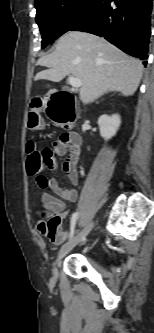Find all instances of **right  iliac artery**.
I'll list each match as a JSON object with an SVG mask.
<instances>
[{
	"label": "right iliac artery",
	"mask_w": 154,
	"mask_h": 333,
	"mask_svg": "<svg viewBox=\"0 0 154 333\" xmlns=\"http://www.w3.org/2000/svg\"><path fill=\"white\" fill-rule=\"evenodd\" d=\"M77 218H78V212H75L72 215V217H71V233H70V238H72L73 235H74L75 225H76Z\"/></svg>",
	"instance_id": "obj_1"
}]
</instances>
